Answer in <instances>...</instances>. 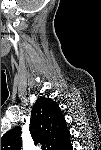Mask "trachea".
<instances>
[{
	"label": "trachea",
	"instance_id": "trachea-1",
	"mask_svg": "<svg viewBox=\"0 0 101 150\" xmlns=\"http://www.w3.org/2000/svg\"><path fill=\"white\" fill-rule=\"evenodd\" d=\"M45 149H46L45 145H42V150H45Z\"/></svg>",
	"mask_w": 101,
	"mask_h": 150
}]
</instances>
